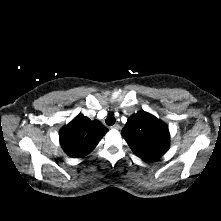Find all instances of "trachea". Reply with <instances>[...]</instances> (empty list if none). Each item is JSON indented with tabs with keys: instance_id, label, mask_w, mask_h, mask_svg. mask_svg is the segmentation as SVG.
I'll return each mask as SVG.
<instances>
[{
	"instance_id": "3493384b",
	"label": "trachea",
	"mask_w": 221,
	"mask_h": 221,
	"mask_svg": "<svg viewBox=\"0 0 221 221\" xmlns=\"http://www.w3.org/2000/svg\"><path fill=\"white\" fill-rule=\"evenodd\" d=\"M116 119L114 116L110 115L106 118L105 122L108 126H112L115 123Z\"/></svg>"
}]
</instances>
